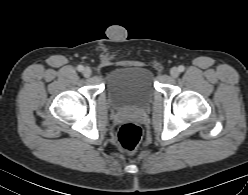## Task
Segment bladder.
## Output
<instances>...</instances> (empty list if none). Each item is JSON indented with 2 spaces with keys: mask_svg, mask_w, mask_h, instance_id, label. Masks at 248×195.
Wrapping results in <instances>:
<instances>
[{
  "mask_svg": "<svg viewBox=\"0 0 248 195\" xmlns=\"http://www.w3.org/2000/svg\"><path fill=\"white\" fill-rule=\"evenodd\" d=\"M105 89L115 108H142L154 93V74L144 66H119L108 74Z\"/></svg>",
  "mask_w": 248,
  "mask_h": 195,
  "instance_id": "31cf9c89",
  "label": "bladder"
}]
</instances>
